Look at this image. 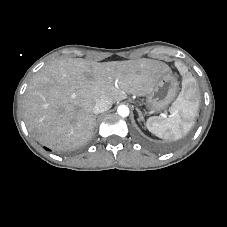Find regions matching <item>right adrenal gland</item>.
<instances>
[{
    "mask_svg": "<svg viewBox=\"0 0 227 227\" xmlns=\"http://www.w3.org/2000/svg\"><path fill=\"white\" fill-rule=\"evenodd\" d=\"M96 117H97V115H95V120H96ZM95 126H96V124H95Z\"/></svg>",
    "mask_w": 227,
    "mask_h": 227,
    "instance_id": "2a0ac1e0",
    "label": "right adrenal gland"
}]
</instances>
